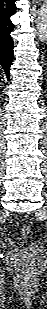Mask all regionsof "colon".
Wrapping results in <instances>:
<instances>
[{
    "mask_svg": "<svg viewBox=\"0 0 47 309\" xmlns=\"http://www.w3.org/2000/svg\"><path fill=\"white\" fill-rule=\"evenodd\" d=\"M21 231H22L23 234L28 235L30 233L31 229H30L29 226L23 225L22 228H21Z\"/></svg>",
    "mask_w": 47,
    "mask_h": 309,
    "instance_id": "colon-1",
    "label": "colon"
}]
</instances>
